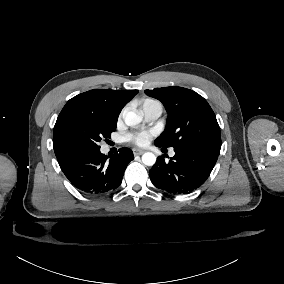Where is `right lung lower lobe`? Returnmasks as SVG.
<instances>
[{"instance_id":"right-lung-lower-lobe-1","label":"right lung lower lobe","mask_w":284,"mask_h":284,"mask_svg":"<svg viewBox=\"0 0 284 284\" xmlns=\"http://www.w3.org/2000/svg\"><path fill=\"white\" fill-rule=\"evenodd\" d=\"M108 157L98 150L74 153L59 162L69 181L80 191L100 195L114 191L122 182L124 171L133 153L121 148L119 153Z\"/></svg>"}]
</instances>
